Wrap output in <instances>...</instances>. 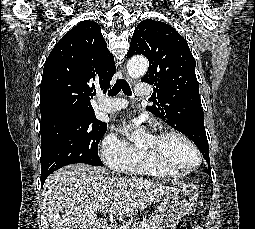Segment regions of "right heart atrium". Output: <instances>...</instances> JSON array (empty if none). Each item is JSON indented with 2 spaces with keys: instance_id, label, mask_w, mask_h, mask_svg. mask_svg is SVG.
I'll list each match as a JSON object with an SVG mask.
<instances>
[{
  "instance_id": "1",
  "label": "right heart atrium",
  "mask_w": 255,
  "mask_h": 229,
  "mask_svg": "<svg viewBox=\"0 0 255 229\" xmlns=\"http://www.w3.org/2000/svg\"><path fill=\"white\" fill-rule=\"evenodd\" d=\"M138 148L120 139L114 133L107 134L101 141V157L111 168L122 171L137 154Z\"/></svg>"
}]
</instances>
